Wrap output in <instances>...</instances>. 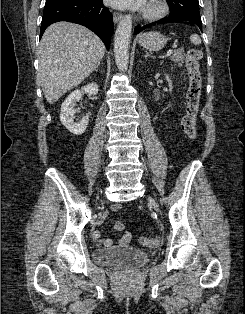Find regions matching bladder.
Wrapping results in <instances>:
<instances>
[{
  "mask_svg": "<svg viewBox=\"0 0 245 314\" xmlns=\"http://www.w3.org/2000/svg\"><path fill=\"white\" fill-rule=\"evenodd\" d=\"M149 253L136 248H115L95 250V261L99 264H114L116 262L142 263L149 259Z\"/></svg>",
  "mask_w": 245,
  "mask_h": 314,
  "instance_id": "obj_1",
  "label": "bladder"
}]
</instances>
